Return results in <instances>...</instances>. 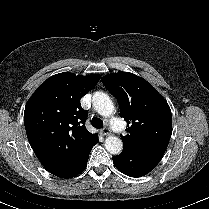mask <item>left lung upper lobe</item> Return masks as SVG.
Returning a JSON list of instances; mask_svg holds the SVG:
<instances>
[{
	"instance_id": "obj_1",
	"label": "left lung upper lobe",
	"mask_w": 209,
	"mask_h": 209,
	"mask_svg": "<svg viewBox=\"0 0 209 209\" xmlns=\"http://www.w3.org/2000/svg\"><path fill=\"white\" fill-rule=\"evenodd\" d=\"M102 81L127 121V135L121 136L123 149L162 157L172 134L167 101L146 80L129 72L107 75Z\"/></svg>"
}]
</instances>
